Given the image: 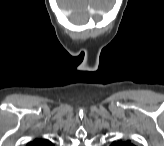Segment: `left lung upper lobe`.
Segmentation results:
<instances>
[{
	"mask_svg": "<svg viewBox=\"0 0 164 146\" xmlns=\"http://www.w3.org/2000/svg\"><path fill=\"white\" fill-rule=\"evenodd\" d=\"M113 146H132V144H130V141H119L117 143H113Z\"/></svg>",
	"mask_w": 164,
	"mask_h": 146,
	"instance_id": "obj_1",
	"label": "left lung upper lobe"
}]
</instances>
